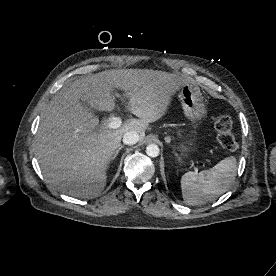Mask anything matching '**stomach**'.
I'll return each instance as SVG.
<instances>
[{
	"instance_id": "0dacf381",
	"label": "stomach",
	"mask_w": 276,
	"mask_h": 276,
	"mask_svg": "<svg viewBox=\"0 0 276 276\" xmlns=\"http://www.w3.org/2000/svg\"><path fill=\"white\" fill-rule=\"evenodd\" d=\"M178 97L181 101L185 116L192 123L199 122L205 117L207 111L198 86L190 83L184 84L179 89ZM193 148V146H183L182 152H189Z\"/></svg>"
}]
</instances>
